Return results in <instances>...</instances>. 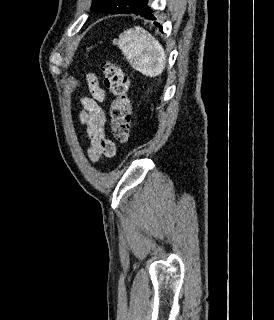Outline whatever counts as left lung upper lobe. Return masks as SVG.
I'll return each instance as SVG.
<instances>
[{"label":"left lung upper lobe","instance_id":"5c2ea615","mask_svg":"<svg viewBox=\"0 0 274 320\" xmlns=\"http://www.w3.org/2000/svg\"><path fill=\"white\" fill-rule=\"evenodd\" d=\"M137 0H93L91 10L110 14L119 13L133 5Z\"/></svg>","mask_w":274,"mask_h":320}]
</instances>
